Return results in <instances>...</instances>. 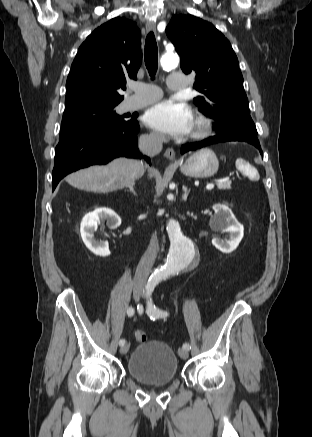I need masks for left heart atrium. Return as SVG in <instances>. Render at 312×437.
I'll use <instances>...</instances> for the list:
<instances>
[{
  "label": "left heart atrium",
  "mask_w": 312,
  "mask_h": 437,
  "mask_svg": "<svg viewBox=\"0 0 312 437\" xmlns=\"http://www.w3.org/2000/svg\"><path fill=\"white\" fill-rule=\"evenodd\" d=\"M153 129L172 136L188 134L193 127V115L185 104L163 101L150 108L144 117Z\"/></svg>",
  "instance_id": "obj_1"
}]
</instances>
